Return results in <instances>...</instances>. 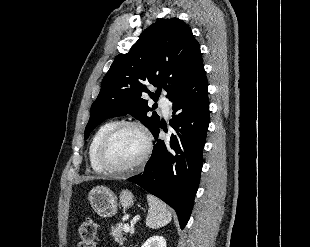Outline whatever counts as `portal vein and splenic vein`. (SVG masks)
Masks as SVG:
<instances>
[{"instance_id": "portal-vein-and-splenic-vein-1", "label": "portal vein and splenic vein", "mask_w": 310, "mask_h": 247, "mask_svg": "<svg viewBox=\"0 0 310 247\" xmlns=\"http://www.w3.org/2000/svg\"><path fill=\"white\" fill-rule=\"evenodd\" d=\"M123 229H124L125 232H129V231H130V227H129L128 224H125V225L123 226Z\"/></svg>"}]
</instances>
